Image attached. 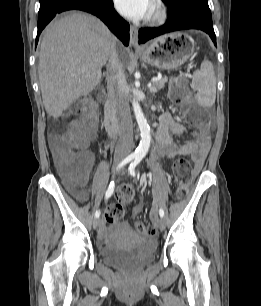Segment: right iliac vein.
<instances>
[{
    "label": "right iliac vein",
    "instance_id": "obj_1",
    "mask_svg": "<svg viewBox=\"0 0 261 306\" xmlns=\"http://www.w3.org/2000/svg\"><path fill=\"white\" fill-rule=\"evenodd\" d=\"M100 225V219L99 218H95L93 221V227L94 229H97Z\"/></svg>",
    "mask_w": 261,
    "mask_h": 306
}]
</instances>
